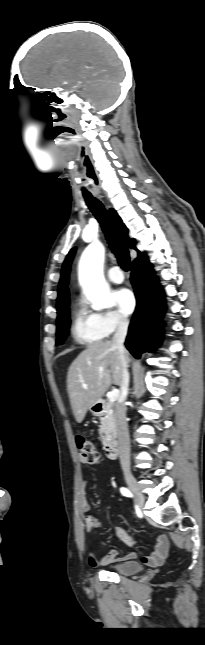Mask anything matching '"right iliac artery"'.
<instances>
[{"label":"right iliac artery","mask_w":205,"mask_h":645,"mask_svg":"<svg viewBox=\"0 0 205 645\" xmlns=\"http://www.w3.org/2000/svg\"><path fill=\"white\" fill-rule=\"evenodd\" d=\"M120 491L126 497H133L132 493L127 488L122 487Z\"/></svg>","instance_id":"obj_1"}]
</instances>
